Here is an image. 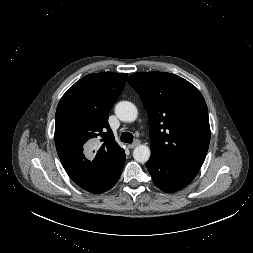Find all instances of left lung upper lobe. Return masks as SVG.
<instances>
[{
	"label": "left lung upper lobe",
	"mask_w": 253,
	"mask_h": 253,
	"mask_svg": "<svg viewBox=\"0 0 253 253\" xmlns=\"http://www.w3.org/2000/svg\"><path fill=\"white\" fill-rule=\"evenodd\" d=\"M150 123L152 154L198 173L210 142L208 109L199 90L166 72H140L128 78Z\"/></svg>",
	"instance_id": "left-lung-upper-lobe-1"
}]
</instances>
